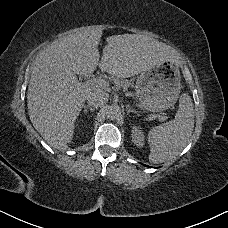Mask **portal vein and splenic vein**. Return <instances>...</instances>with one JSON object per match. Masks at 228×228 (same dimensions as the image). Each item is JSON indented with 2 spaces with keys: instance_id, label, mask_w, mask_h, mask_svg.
Segmentation results:
<instances>
[{
  "instance_id": "portal-vein-and-splenic-vein-1",
  "label": "portal vein and splenic vein",
  "mask_w": 228,
  "mask_h": 228,
  "mask_svg": "<svg viewBox=\"0 0 228 228\" xmlns=\"http://www.w3.org/2000/svg\"><path fill=\"white\" fill-rule=\"evenodd\" d=\"M85 85H89V86H93V87H101V88H105L107 87V82L106 80H104L103 78H94V77H90L87 79V81L85 82ZM139 111L141 110L140 108L138 109ZM142 114L143 117L145 118H150L153 121H158L157 119H162L163 122H166L167 119L169 118L168 116H164L163 114H158V113H153L152 111L147 112H140Z\"/></svg>"
}]
</instances>
